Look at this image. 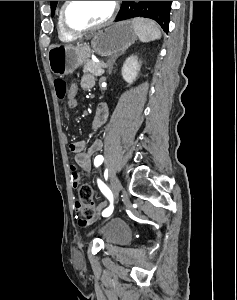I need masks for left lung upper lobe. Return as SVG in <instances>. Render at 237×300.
Masks as SVG:
<instances>
[{
    "instance_id": "obj_1",
    "label": "left lung upper lobe",
    "mask_w": 237,
    "mask_h": 300,
    "mask_svg": "<svg viewBox=\"0 0 237 300\" xmlns=\"http://www.w3.org/2000/svg\"><path fill=\"white\" fill-rule=\"evenodd\" d=\"M51 12L57 5V1H50ZM171 5H165V1H142L140 4H134L133 1H123L117 21L133 17H147L158 22L163 30L168 33L170 21Z\"/></svg>"
}]
</instances>
